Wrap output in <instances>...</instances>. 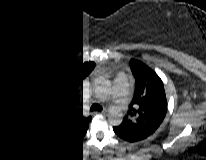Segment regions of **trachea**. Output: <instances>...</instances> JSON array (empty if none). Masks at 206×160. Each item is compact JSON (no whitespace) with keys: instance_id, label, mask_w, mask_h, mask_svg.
<instances>
[{"instance_id":"1","label":"trachea","mask_w":206,"mask_h":160,"mask_svg":"<svg viewBox=\"0 0 206 160\" xmlns=\"http://www.w3.org/2000/svg\"><path fill=\"white\" fill-rule=\"evenodd\" d=\"M91 110L92 111H101L102 110V106H100V104H93L92 106H91Z\"/></svg>"}]
</instances>
